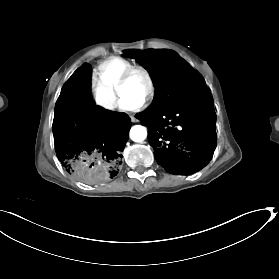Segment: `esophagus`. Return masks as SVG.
I'll return each mask as SVG.
<instances>
[{
	"mask_svg": "<svg viewBox=\"0 0 279 279\" xmlns=\"http://www.w3.org/2000/svg\"><path fill=\"white\" fill-rule=\"evenodd\" d=\"M130 118H131L132 122H137V120H136V118L134 116H130Z\"/></svg>",
	"mask_w": 279,
	"mask_h": 279,
	"instance_id": "esophagus-1",
	"label": "esophagus"
}]
</instances>
